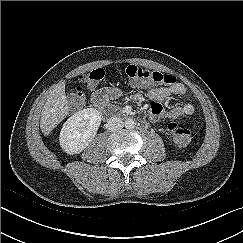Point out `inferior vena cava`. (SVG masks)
Listing matches in <instances>:
<instances>
[{"label": "inferior vena cava", "mask_w": 243, "mask_h": 243, "mask_svg": "<svg viewBox=\"0 0 243 243\" xmlns=\"http://www.w3.org/2000/svg\"><path fill=\"white\" fill-rule=\"evenodd\" d=\"M124 122L117 117H111L108 119L107 123L105 124V127L110 132H116L123 128Z\"/></svg>", "instance_id": "602c4592"}]
</instances>
